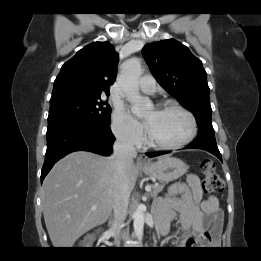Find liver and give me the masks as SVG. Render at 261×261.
I'll return each instance as SVG.
<instances>
[{
	"label": "liver",
	"mask_w": 261,
	"mask_h": 261,
	"mask_svg": "<svg viewBox=\"0 0 261 261\" xmlns=\"http://www.w3.org/2000/svg\"><path fill=\"white\" fill-rule=\"evenodd\" d=\"M111 158L86 151L72 152L46 176L41 200L46 228L55 248H71L83 234L108 220L114 191ZM137 175L134 163L127 167L130 191Z\"/></svg>",
	"instance_id": "obj_1"
}]
</instances>
